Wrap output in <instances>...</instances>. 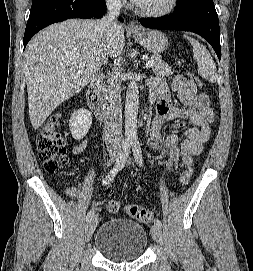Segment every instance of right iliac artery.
I'll return each instance as SVG.
<instances>
[{"label": "right iliac artery", "instance_id": "right-iliac-artery-1", "mask_svg": "<svg viewBox=\"0 0 253 271\" xmlns=\"http://www.w3.org/2000/svg\"><path fill=\"white\" fill-rule=\"evenodd\" d=\"M130 145L131 143L129 141L124 142L122 151L114 167L103 179L104 186L109 185L111 181L114 179V177L117 175V173L124 168L126 161L128 159L129 153H130ZM93 216H94V211L90 210L86 216V220L89 221Z\"/></svg>", "mask_w": 253, "mask_h": 271}]
</instances>
